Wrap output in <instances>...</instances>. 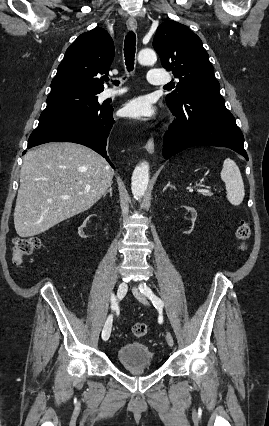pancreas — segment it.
<instances>
[{
	"label": "pancreas",
	"instance_id": "1",
	"mask_svg": "<svg viewBox=\"0 0 269 426\" xmlns=\"http://www.w3.org/2000/svg\"><path fill=\"white\" fill-rule=\"evenodd\" d=\"M201 194L203 196H211L212 195V193H210V192H201Z\"/></svg>",
	"mask_w": 269,
	"mask_h": 426
}]
</instances>
